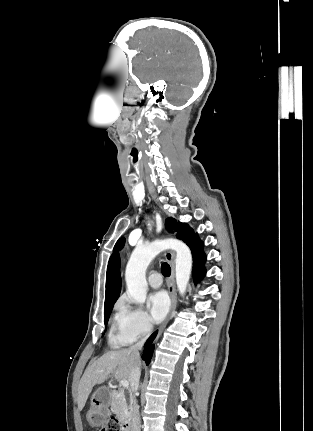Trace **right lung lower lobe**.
I'll return each instance as SVG.
<instances>
[{
	"label": "right lung lower lobe",
	"instance_id": "right-lung-lower-lobe-1",
	"mask_svg": "<svg viewBox=\"0 0 313 431\" xmlns=\"http://www.w3.org/2000/svg\"><path fill=\"white\" fill-rule=\"evenodd\" d=\"M157 331L154 332L146 341L145 345H144V350H143V354H142V359L145 361L146 365H149L151 358H152V354L154 351V345H153V341L156 337Z\"/></svg>",
	"mask_w": 313,
	"mask_h": 431
}]
</instances>
